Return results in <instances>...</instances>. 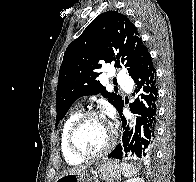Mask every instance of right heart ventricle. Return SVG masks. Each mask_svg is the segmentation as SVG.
I'll use <instances>...</instances> for the list:
<instances>
[{"label":"right heart ventricle","mask_w":196,"mask_h":182,"mask_svg":"<svg viewBox=\"0 0 196 182\" xmlns=\"http://www.w3.org/2000/svg\"><path fill=\"white\" fill-rule=\"evenodd\" d=\"M80 115V111H73L69 114V116L66 118V120L63 123L62 130H61V138H60V144H61V150L62 154L64 156L65 161L69 165H79L83 162L84 159H81L77 156H75L68 148L67 145V134L69 131V128L73 121Z\"/></svg>","instance_id":"obj_1"}]
</instances>
